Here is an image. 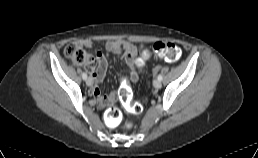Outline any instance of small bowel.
Wrapping results in <instances>:
<instances>
[{
  "instance_id": "obj_1",
  "label": "small bowel",
  "mask_w": 258,
  "mask_h": 158,
  "mask_svg": "<svg viewBox=\"0 0 258 158\" xmlns=\"http://www.w3.org/2000/svg\"><path fill=\"white\" fill-rule=\"evenodd\" d=\"M77 45L89 48L92 46V41L82 40L79 41ZM104 48L106 51L114 52L122 56L127 67L131 71V81L136 82L139 76L135 67V61L138 58L139 54L145 49V46H135L127 40H109L105 43ZM84 65L88 68L89 72L91 73L93 85L92 95L94 96V98L99 102L100 106L102 107L112 104L115 100V96L113 94H110L108 96H102L98 87L99 84L103 81L108 67L106 57L101 52H97L96 64L92 67H89L87 64Z\"/></svg>"
}]
</instances>
